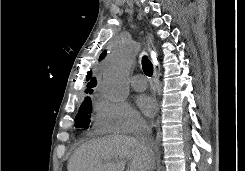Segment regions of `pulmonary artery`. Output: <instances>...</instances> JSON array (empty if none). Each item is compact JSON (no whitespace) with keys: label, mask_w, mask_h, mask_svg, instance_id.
Instances as JSON below:
<instances>
[{"label":"pulmonary artery","mask_w":245,"mask_h":171,"mask_svg":"<svg viewBox=\"0 0 245 171\" xmlns=\"http://www.w3.org/2000/svg\"><path fill=\"white\" fill-rule=\"evenodd\" d=\"M131 86L136 91H143L146 88V79L142 75H134L131 78Z\"/></svg>","instance_id":"1"}]
</instances>
